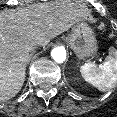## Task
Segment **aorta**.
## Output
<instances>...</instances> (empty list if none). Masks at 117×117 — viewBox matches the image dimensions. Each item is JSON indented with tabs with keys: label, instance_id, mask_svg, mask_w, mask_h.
<instances>
[{
	"label": "aorta",
	"instance_id": "aorta-1",
	"mask_svg": "<svg viewBox=\"0 0 117 117\" xmlns=\"http://www.w3.org/2000/svg\"><path fill=\"white\" fill-rule=\"evenodd\" d=\"M51 57L57 63H63L66 59V50L62 47L54 48L51 51Z\"/></svg>",
	"mask_w": 117,
	"mask_h": 117
}]
</instances>
